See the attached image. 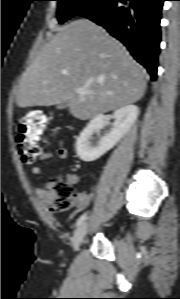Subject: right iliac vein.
<instances>
[{
  "instance_id": "right-iliac-vein-1",
  "label": "right iliac vein",
  "mask_w": 180,
  "mask_h": 299,
  "mask_svg": "<svg viewBox=\"0 0 180 299\" xmlns=\"http://www.w3.org/2000/svg\"><path fill=\"white\" fill-rule=\"evenodd\" d=\"M88 229V223L84 222L78 226L76 229L73 239H72V248L73 250H78L80 245L83 243L84 237Z\"/></svg>"
}]
</instances>
